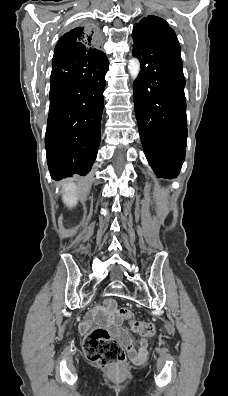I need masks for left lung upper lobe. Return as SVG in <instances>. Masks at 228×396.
<instances>
[{"instance_id":"obj_1","label":"left lung upper lobe","mask_w":228,"mask_h":396,"mask_svg":"<svg viewBox=\"0 0 228 396\" xmlns=\"http://www.w3.org/2000/svg\"><path fill=\"white\" fill-rule=\"evenodd\" d=\"M150 37L157 41L171 44L180 48V44L174 30L168 23L157 16L150 15L142 18L133 28L132 38Z\"/></svg>"}]
</instances>
